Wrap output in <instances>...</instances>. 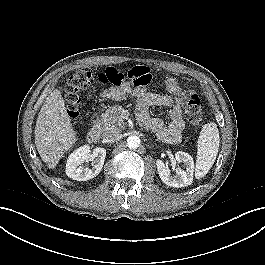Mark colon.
<instances>
[{"label": "colon", "mask_w": 265, "mask_h": 265, "mask_svg": "<svg viewBox=\"0 0 265 265\" xmlns=\"http://www.w3.org/2000/svg\"><path fill=\"white\" fill-rule=\"evenodd\" d=\"M127 80H132L138 84L146 83V80L137 77L131 71L125 74L114 67H109L104 72H98L91 68L78 70L69 77L65 86V99L69 116L73 121L77 119L81 93L94 82L120 86ZM185 113L187 120L192 126L198 127L202 124L203 112L200 98L197 94L190 95Z\"/></svg>", "instance_id": "1"}]
</instances>
